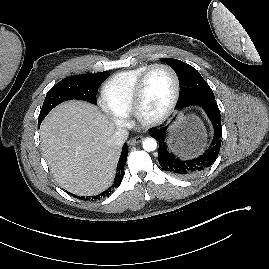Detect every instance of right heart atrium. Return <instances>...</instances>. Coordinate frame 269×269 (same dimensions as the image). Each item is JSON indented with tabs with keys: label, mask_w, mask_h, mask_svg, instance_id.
Returning a JSON list of instances; mask_svg holds the SVG:
<instances>
[{
	"label": "right heart atrium",
	"mask_w": 269,
	"mask_h": 269,
	"mask_svg": "<svg viewBox=\"0 0 269 269\" xmlns=\"http://www.w3.org/2000/svg\"><path fill=\"white\" fill-rule=\"evenodd\" d=\"M105 111L108 113V115L112 118V120L119 126H124L127 124V118L126 116L116 114L110 110L105 109Z\"/></svg>",
	"instance_id": "right-heart-atrium-1"
}]
</instances>
